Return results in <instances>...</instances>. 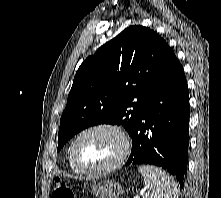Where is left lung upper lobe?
<instances>
[{"instance_id": "5c2ea615", "label": "left lung upper lobe", "mask_w": 221, "mask_h": 198, "mask_svg": "<svg viewBox=\"0 0 221 198\" xmlns=\"http://www.w3.org/2000/svg\"><path fill=\"white\" fill-rule=\"evenodd\" d=\"M173 50L153 30L133 25L79 67L60 119L58 151L93 125H122L129 135L143 105L164 78Z\"/></svg>"}]
</instances>
